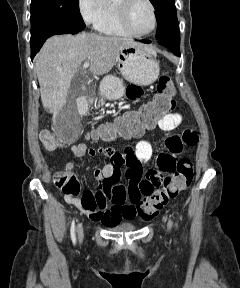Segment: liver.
Here are the masks:
<instances>
[{"label": "liver", "mask_w": 240, "mask_h": 288, "mask_svg": "<svg viewBox=\"0 0 240 288\" xmlns=\"http://www.w3.org/2000/svg\"><path fill=\"white\" fill-rule=\"evenodd\" d=\"M128 46L147 47L127 38L95 33L49 38L35 57L43 106L57 115L66 105L71 81L84 62H90L91 73L106 74L116 64L119 50Z\"/></svg>", "instance_id": "liver-1"}]
</instances>
